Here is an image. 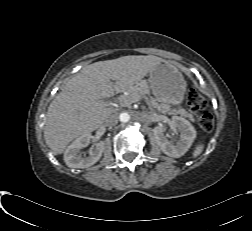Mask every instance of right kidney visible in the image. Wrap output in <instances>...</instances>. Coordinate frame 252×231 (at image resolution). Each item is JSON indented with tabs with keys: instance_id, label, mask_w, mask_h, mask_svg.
<instances>
[{
	"instance_id": "obj_1",
	"label": "right kidney",
	"mask_w": 252,
	"mask_h": 231,
	"mask_svg": "<svg viewBox=\"0 0 252 231\" xmlns=\"http://www.w3.org/2000/svg\"><path fill=\"white\" fill-rule=\"evenodd\" d=\"M91 134H84L73 141L65 150L64 161L70 168H87L95 164L102 156L105 143L100 141L90 150L88 156H82L80 151L87 147L91 140Z\"/></svg>"
}]
</instances>
